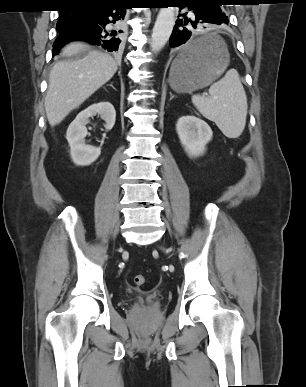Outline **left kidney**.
Wrapping results in <instances>:
<instances>
[{
	"label": "left kidney",
	"mask_w": 306,
	"mask_h": 387,
	"mask_svg": "<svg viewBox=\"0 0 306 387\" xmlns=\"http://www.w3.org/2000/svg\"><path fill=\"white\" fill-rule=\"evenodd\" d=\"M176 131L190 157L203 155L206 150L205 146L213 135L210 126L194 115L180 117L176 124Z\"/></svg>",
	"instance_id": "left-kidney-1"
}]
</instances>
